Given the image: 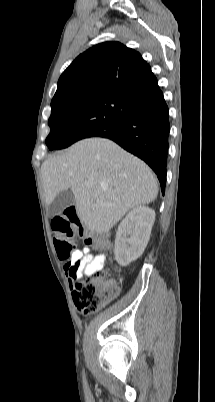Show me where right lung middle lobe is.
<instances>
[{
	"instance_id": "1",
	"label": "right lung middle lobe",
	"mask_w": 215,
	"mask_h": 402,
	"mask_svg": "<svg viewBox=\"0 0 215 402\" xmlns=\"http://www.w3.org/2000/svg\"><path fill=\"white\" fill-rule=\"evenodd\" d=\"M135 106L136 102L107 93L52 100L46 144L50 150L62 149L97 136L121 123Z\"/></svg>"
}]
</instances>
